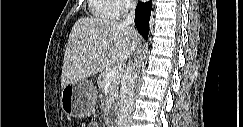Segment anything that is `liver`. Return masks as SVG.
Returning a JSON list of instances; mask_svg holds the SVG:
<instances>
[{"label": "liver", "mask_w": 243, "mask_h": 127, "mask_svg": "<svg viewBox=\"0 0 243 127\" xmlns=\"http://www.w3.org/2000/svg\"><path fill=\"white\" fill-rule=\"evenodd\" d=\"M139 42V34L121 22L80 18L69 35L62 66L61 87L84 80L105 68L120 67Z\"/></svg>", "instance_id": "6515ba94"}]
</instances>
